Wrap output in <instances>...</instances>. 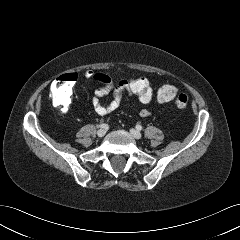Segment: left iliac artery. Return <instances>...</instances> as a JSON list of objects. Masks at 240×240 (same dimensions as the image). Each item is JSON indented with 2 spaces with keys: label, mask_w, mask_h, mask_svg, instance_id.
I'll return each instance as SVG.
<instances>
[{
  "label": "left iliac artery",
  "mask_w": 240,
  "mask_h": 240,
  "mask_svg": "<svg viewBox=\"0 0 240 240\" xmlns=\"http://www.w3.org/2000/svg\"><path fill=\"white\" fill-rule=\"evenodd\" d=\"M136 129L140 131V130H142V126L138 124V125H136Z\"/></svg>",
  "instance_id": "1"
}]
</instances>
